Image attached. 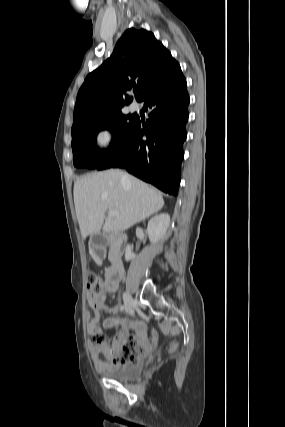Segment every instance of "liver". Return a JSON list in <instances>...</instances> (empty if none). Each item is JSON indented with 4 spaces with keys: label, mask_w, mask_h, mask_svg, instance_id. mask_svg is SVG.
Returning <instances> with one entry per match:
<instances>
[{
    "label": "liver",
    "mask_w": 285,
    "mask_h": 427,
    "mask_svg": "<svg viewBox=\"0 0 285 427\" xmlns=\"http://www.w3.org/2000/svg\"><path fill=\"white\" fill-rule=\"evenodd\" d=\"M73 194L83 238L100 230L104 233L126 230L164 206L158 190L115 169L82 176L75 182ZM109 209L117 210L118 214L105 218Z\"/></svg>",
    "instance_id": "6515ba94"
}]
</instances>
